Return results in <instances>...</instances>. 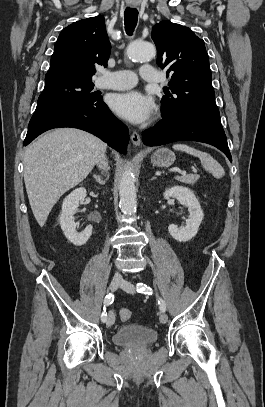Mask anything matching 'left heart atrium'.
Listing matches in <instances>:
<instances>
[{"label":"left heart atrium","instance_id":"1","mask_svg":"<svg viewBox=\"0 0 265 407\" xmlns=\"http://www.w3.org/2000/svg\"><path fill=\"white\" fill-rule=\"evenodd\" d=\"M110 106L117 115L135 124L147 121L154 111L153 100L138 91L114 94Z\"/></svg>","mask_w":265,"mask_h":407}]
</instances>
